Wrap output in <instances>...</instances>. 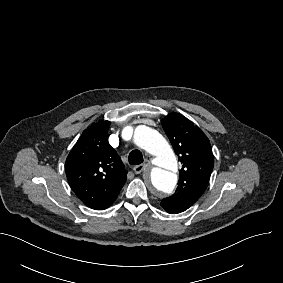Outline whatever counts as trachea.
Wrapping results in <instances>:
<instances>
[{
	"label": "trachea",
	"instance_id": "trachea-1",
	"mask_svg": "<svg viewBox=\"0 0 283 283\" xmlns=\"http://www.w3.org/2000/svg\"><path fill=\"white\" fill-rule=\"evenodd\" d=\"M128 161L130 165H139L144 161V158L142 153L136 149L130 152Z\"/></svg>",
	"mask_w": 283,
	"mask_h": 283
}]
</instances>
